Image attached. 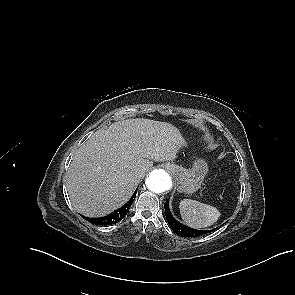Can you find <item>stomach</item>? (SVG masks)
Masks as SVG:
<instances>
[{
  "label": "stomach",
  "mask_w": 295,
  "mask_h": 295,
  "mask_svg": "<svg viewBox=\"0 0 295 295\" xmlns=\"http://www.w3.org/2000/svg\"><path fill=\"white\" fill-rule=\"evenodd\" d=\"M175 177L176 189L180 193L192 194L197 191L208 173V165L204 159H196L192 168L186 169L175 164L169 165Z\"/></svg>",
  "instance_id": "1"
}]
</instances>
